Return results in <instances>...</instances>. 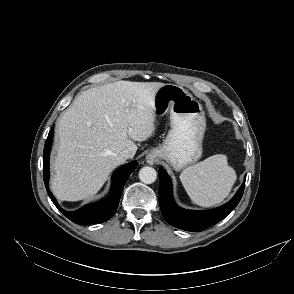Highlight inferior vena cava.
Masks as SVG:
<instances>
[{
  "label": "inferior vena cava",
  "mask_w": 294,
  "mask_h": 294,
  "mask_svg": "<svg viewBox=\"0 0 294 294\" xmlns=\"http://www.w3.org/2000/svg\"><path fill=\"white\" fill-rule=\"evenodd\" d=\"M120 156L126 160V159H129V158H133L134 154L132 152H130L129 150H124L121 152Z\"/></svg>",
  "instance_id": "obj_1"
}]
</instances>
